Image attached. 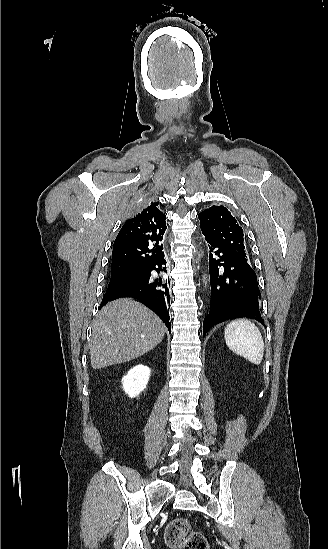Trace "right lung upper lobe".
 Returning a JSON list of instances; mask_svg holds the SVG:
<instances>
[{
  "mask_svg": "<svg viewBox=\"0 0 328 549\" xmlns=\"http://www.w3.org/2000/svg\"><path fill=\"white\" fill-rule=\"evenodd\" d=\"M151 202L129 219L117 235L112 252V273L145 271L163 254L166 215Z\"/></svg>",
  "mask_w": 328,
  "mask_h": 549,
  "instance_id": "obj_1",
  "label": "right lung upper lobe"
}]
</instances>
